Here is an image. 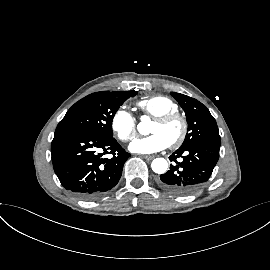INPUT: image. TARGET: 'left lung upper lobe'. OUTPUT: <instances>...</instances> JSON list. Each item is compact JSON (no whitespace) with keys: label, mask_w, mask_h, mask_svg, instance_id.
Instances as JSON below:
<instances>
[{"label":"left lung upper lobe","mask_w":270,"mask_h":270,"mask_svg":"<svg viewBox=\"0 0 270 270\" xmlns=\"http://www.w3.org/2000/svg\"><path fill=\"white\" fill-rule=\"evenodd\" d=\"M183 108L188 123V133L181 147L192 146L196 143L220 145L218 127L209 110L198 100L189 96L171 92Z\"/></svg>","instance_id":"1"}]
</instances>
